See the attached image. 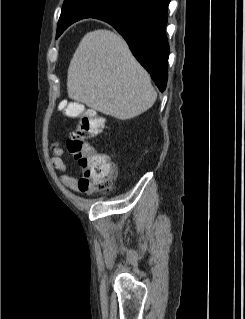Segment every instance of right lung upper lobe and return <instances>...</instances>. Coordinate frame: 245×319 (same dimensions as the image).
Segmentation results:
<instances>
[{
    "instance_id": "obj_1",
    "label": "right lung upper lobe",
    "mask_w": 245,
    "mask_h": 319,
    "mask_svg": "<svg viewBox=\"0 0 245 319\" xmlns=\"http://www.w3.org/2000/svg\"><path fill=\"white\" fill-rule=\"evenodd\" d=\"M85 0H65L63 5V10L58 22V29L67 28L72 23L88 17H93L91 13L86 11L83 7L80 6L79 2ZM65 28V29H66ZM64 29V30H65Z\"/></svg>"
}]
</instances>
